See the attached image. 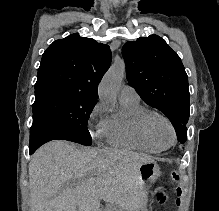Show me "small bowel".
<instances>
[{
	"mask_svg": "<svg viewBox=\"0 0 219 211\" xmlns=\"http://www.w3.org/2000/svg\"><path fill=\"white\" fill-rule=\"evenodd\" d=\"M160 199H161V201H163V200H164V198H163V197H160Z\"/></svg>",
	"mask_w": 219,
	"mask_h": 211,
	"instance_id": "c3829d8e",
	"label": "small bowel"
}]
</instances>
